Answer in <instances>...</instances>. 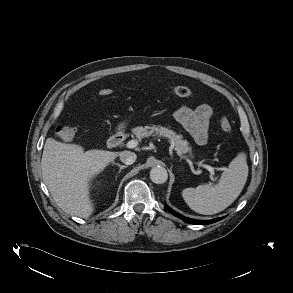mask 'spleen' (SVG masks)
Instances as JSON below:
<instances>
[{"label":"spleen","instance_id":"1","mask_svg":"<svg viewBox=\"0 0 293 293\" xmlns=\"http://www.w3.org/2000/svg\"><path fill=\"white\" fill-rule=\"evenodd\" d=\"M248 177L247 155L240 152L222 173L216 185L203 184L186 188L182 196L195 212L212 215L229 207L240 195Z\"/></svg>","mask_w":293,"mask_h":293}]
</instances>
